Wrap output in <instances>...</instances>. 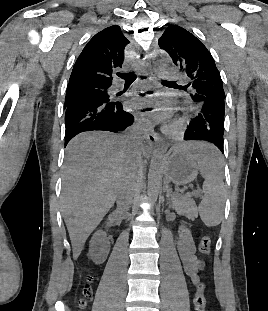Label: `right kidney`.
Masks as SVG:
<instances>
[{"instance_id":"obj_1","label":"right kidney","mask_w":268,"mask_h":311,"mask_svg":"<svg viewBox=\"0 0 268 311\" xmlns=\"http://www.w3.org/2000/svg\"><path fill=\"white\" fill-rule=\"evenodd\" d=\"M110 243L104 231H97L90 240L89 256L95 264L103 263L109 253Z\"/></svg>"}]
</instances>
